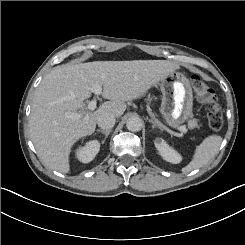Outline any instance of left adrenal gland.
<instances>
[{
    "instance_id": "a2214340",
    "label": "left adrenal gland",
    "mask_w": 245,
    "mask_h": 245,
    "mask_svg": "<svg viewBox=\"0 0 245 245\" xmlns=\"http://www.w3.org/2000/svg\"><path fill=\"white\" fill-rule=\"evenodd\" d=\"M148 121L152 123V128L158 127L161 131H163V128L156 124L152 119H149Z\"/></svg>"
}]
</instances>
